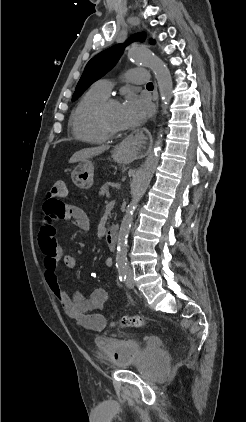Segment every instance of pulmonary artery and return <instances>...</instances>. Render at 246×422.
Returning <instances> with one entry per match:
<instances>
[{"mask_svg":"<svg viewBox=\"0 0 246 422\" xmlns=\"http://www.w3.org/2000/svg\"><path fill=\"white\" fill-rule=\"evenodd\" d=\"M128 78L131 82L137 84H145L149 80V74L145 69L135 68L129 70ZM95 87L107 95L110 93L111 90V84L107 80H99L98 82H96Z\"/></svg>","mask_w":246,"mask_h":422,"instance_id":"e3ab8cb5","label":"pulmonary artery"}]
</instances>
